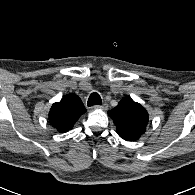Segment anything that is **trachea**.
Returning <instances> with one entry per match:
<instances>
[{"mask_svg": "<svg viewBox=\"0 0 195 195\" xmlns=\"http://www.w3.org/2000/svg\"><path fill=\"white\" fill-rule=\"evenodd\" d=\"M88 106H93V105H102V100L101 97L98 93H92L89 96L88 102H87Z\"/></svg>", "mask_w": 195, "mask_h": 195, "instance_id": "trachea-1", "label": "trachea"}]
</instances>
